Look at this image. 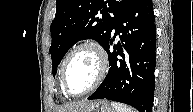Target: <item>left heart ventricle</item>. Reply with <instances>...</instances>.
<instances>
[{
  "instance_id": "b2bd125f",
  "label": "left heart ventricle",
  "mask_w": 193,
  "mask_h": 112,
  "mask_svg": "<svg viewBox=\"0 0 193 112\" xmlns=\"http://www.w3.org/2000/svg\"><path fill=\"white\" fill-rule=\"evenodd\" d=\"M98 72V59L90 49H82L76 52L70 59L66 80L73 93L86 90L94 82Z\"/></svg>"
}]
</instances>
